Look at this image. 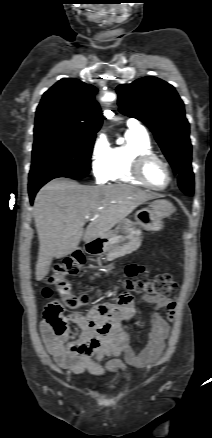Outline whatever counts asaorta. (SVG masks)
<instances>
[{
  "mask_svg": "<svg viewBox=\"0 0 212 438\" xmlns=\"http://www.w3.org/2000/svg\"><path fill=\"white\" fill-rule=\"evenodd\" d=\"M115 99V95L111 92L105 93L103 100L105 101H113Z\"/></svg>",
  "mask_w": 212,
  "mask_h": 438,
  "instance_id": "aorta-1",
  "label": "aorta"
}]
</instances>
